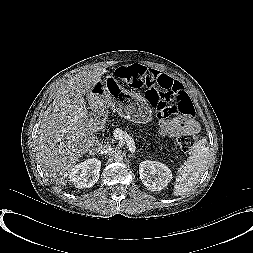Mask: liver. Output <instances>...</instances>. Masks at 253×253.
<instances>
[{"mask_svg":"<svg viewBox=\"0 0 253 253\" xmlns=\"http://www.w3.org/2000/svg\"><path fill=\"white\" fill-rule=\"evenodd\" d=\"M105 72L104 69L83 71L63 82L43 114L36 140L38 161L45 174L62 186L93 138L84 96Z\"/></svg>","mask_w":253,"mask_h":253,"instance_id":"6515ba94","label":"liver"}]
</instances>
